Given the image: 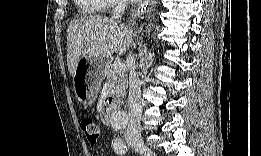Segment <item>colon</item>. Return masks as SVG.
Returning a JSON list of instances; mask_svg holds the SVG:
<instances>
[{
    "label": "colon",
    "mask_w": 261,
    "mask_h": 156,
    "mask_svg": "<svg viewBox=\"0 0 261 156\" xmlns=\"http://www.w3.org/2000/svg\"><path fill=\"white\" fill-rule=\"evenodd\" d=\"M81 128L90 144H95L100 137V128L90 117H83L80 122Z\"/></svg>",
    "instance_id": "5ec220e1"
}]
</instances>
